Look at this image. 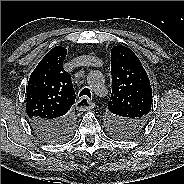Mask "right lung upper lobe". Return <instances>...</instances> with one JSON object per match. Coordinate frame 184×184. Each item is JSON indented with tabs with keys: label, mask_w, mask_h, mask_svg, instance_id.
<instances>
[{
	"label": "right lung upper lobe",
	"mask_w": 184,
	"mask_h": 184,
	"mask_svg": "<svg viewBox=\"0 0 184 184\" xmlns=\"http://www.w3.org/2000/svg\"><path fill=\"white\" fill-rule=\"evenodd\" d=\"M67 50L56 46L39 62L28 81L26 112L30 120L58 121L75 102L71 75L63 69Z\"/></svg>",
	"instance_id": "1"
}]
</instances>
